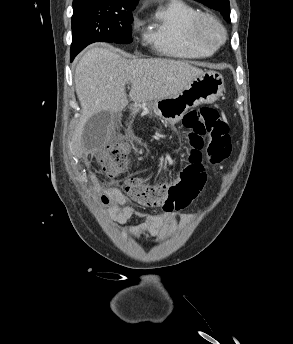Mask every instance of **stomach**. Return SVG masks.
Instances as JSON below:
<instances>
[{
  "instance_id": "1",
  "label": "stomach",
  "mask_w": 293,
  "mask_h": 344,
  "mask_svg": "<svg viewBox=\"0 0 293 344\" xmlns=\"http://www.w3.org/2000/svg\"><path fill=\"white\" fill-rule=\"evenodd\" d=\"M224 90V79L216 71H205L177 95L137 105V109L153 110L168 124L179 122L188 109L217 100Z\"/></svg>"
}]
</instances>
